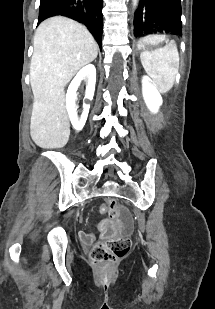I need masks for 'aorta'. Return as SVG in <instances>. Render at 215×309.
<instances>
[{"mask_svg":"<svg viewBox=\"0 0 215 309\" xmlns=\"http://www.w3.org/2000/svg\"><path fill=\"white\" fill-rule=\"evenodd\" d=\"M138 0H133V6H137Z\"/></svg>","mask_w":215,"mask_h":309,"instance_id":"obj_1","label":"aorta"}]
</instances>
